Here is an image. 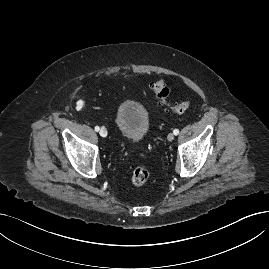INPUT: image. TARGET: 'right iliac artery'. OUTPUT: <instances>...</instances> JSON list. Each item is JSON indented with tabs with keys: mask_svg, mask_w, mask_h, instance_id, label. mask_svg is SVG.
<instances>
[{
	"mask_svg": "<svg viewBox=\"0 0 269 269\" xmlns=\"http://www.w3.org/2000/svg\"><path fill=\"white\" fill-rule=\"evenodd\" d=\"M100 130V128H99V126H95V131H99Z\"/></svg>",
	"mask_w": 269,
	"mask_h": 269,
	"instance_id": "right-iliac-artery-1",
	"label": "right iliac artery"
}]
</instances>
